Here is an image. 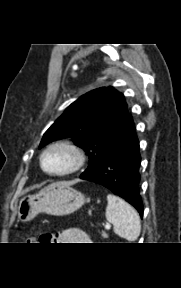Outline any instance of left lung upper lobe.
<instances>
[{"label":"left lung upper lobe","instance_id":"left-lung-upper-lobe-1","mask_svg":"<svg viewBox=\"0 0 181 288\" xmlns=\"http://www.w3.org/2000/svg\"><path fill=\"white\" fill-rule=\"evenodd\" d=\"M123 94L113 87L92 90L73 102L44 133L39 148L65 137L84 149L91 173L121 138L129 119Z\"/></svg>","mask_w":181,"mask_h":288}]
</instances>
